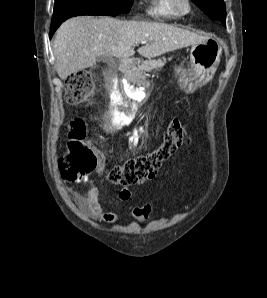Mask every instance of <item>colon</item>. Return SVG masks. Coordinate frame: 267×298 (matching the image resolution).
Instances as JSON below:
<instances>
[{
    "label": "colon",
    "instance_id": "1",
    "mask_svg": "<svg viewBox=\"0 0 267 298\" xmlns=\"http://www.w3.org/2000/svg\"><path fill=\"white\" fill-rule=\"evenodd\" d=\"M94 92V82L88 71H79L66 79L64 98L71 105L88 103ZM68 152L58 159L63 179L76 181L85 178L98 164L97 153L85 141V126L80 118L67 124ZM188 142L187 129L180 119L172 120L161 143L152 151L120 165L103 170L105 179L114 185L131 186L154 176L162 163Z\"/></svg>",
    "mask_w": 267,
    "mask_h": 298
}]
</instances>
